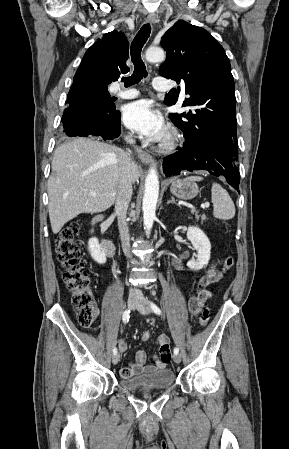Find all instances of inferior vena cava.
<instances>
[{
  "label": "inferior vena cava",
  "mask_w": 289,
  "mask_h": 449,
  "mask_svg": "<svg viewBox=\"0 0 289 449\" xmlns=\"http://www.w3.org/2000/svg\"><path fill=\"white\" fill-rule=\"evenodd\" d=\"M129 143H134L131 137L126 138ZM133 162L130 153H126L125 165L120 173L116 193L115 212L118 219V228L124 254L130 258V234L127 224V210L133 194L132 189ZM131 292H140L138 288H131Z\"/></svg>",
  "instance_id": "602c4592"
}]
</instances>
